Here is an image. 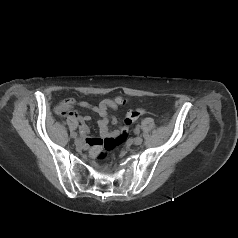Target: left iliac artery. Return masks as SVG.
<instances>
[{
    "mask_svg": "<svg viewBox=\"0 0 238 238\" xmlns=\"http://www.w3.org/2000/svg\"><path fill=\"white\" fill-rule=\"evenodd\" d=\"M142 137H143V139L147 140V139H149L150 136H149V134L145 133V134H143Z\"/></svg>",
    "mask_w": 238,
    "mask_h": 238,
    "instance_id": "1",
    "label": "left iliac artery"
}]
</instances>
